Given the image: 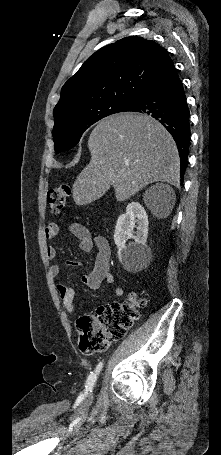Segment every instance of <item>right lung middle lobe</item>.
<instances>
[{
    "label": "right lung middle lobe",
    "mask_w": 221,
    "mask_h": 455,
    "mask_svg": "<svg viewBox=\"0 0 221 455\" xmlns=\"http://www.w3.org/2000/svg\"><path fill=\"white\" fill-rule=\"evenodd\" d=\"M131 103L121 100L103 101L55 120L53 138L56 153L71 149L87 128L106 116L123 112Z\"/></svg>",
    "instance_id": "1"
}]
</instances>
